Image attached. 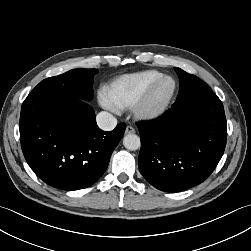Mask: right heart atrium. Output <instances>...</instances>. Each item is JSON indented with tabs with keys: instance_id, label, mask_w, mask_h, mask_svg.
I'll use <instances>...</instances> for the list:
<instances>
[{
	"instance_id": "obj_1",
	"label": "right heart atrium",
	"mask_w": 251,
	"mask_h": 251,
	"mask_svg": "<svg viewBox=\"0 0 251 251\" xmlns=\"http://www.w3.org/2000/svg\"><path fill=\"white\" fill-rule=\"evenodd\" d=\"M99 102L101 103L102 106L106 107V108H114L113 105L109 102L105 92H100L99 93Z\"/></svg>"
}]
</instances>
